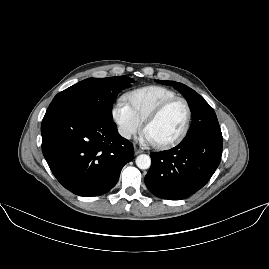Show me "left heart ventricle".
<instances>
[{
  "label": "left heart ventricle",
  "instance_id": "1",
  "mask_svg": "<svg viewBox=\"0 0 269 269\" xmlns=\"http://www.w3.org/2000/svg\"><path fill=\"white\" fill-rule=\"evenodd\" d=\"M186 121V108L182 102L170 106L146 132L148 141L162 144L175 138L183 129Z\"/></svg>",
  "mask_w": 269,
  "mask_h": 269
}]
</instances>
